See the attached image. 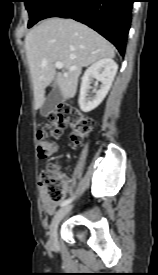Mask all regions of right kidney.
<instances>
[{
	"label": "right kidney",
	"instance_id": "right-kidney-1",
	"mask_svg": "<svg viewBox=\"0 0 158 275\" xmlns=\"http://www.w3.org/2000/svg\"><path fill=\"white\" fill-rule=\"evenodd\" d=\"M117 69L118 65L114 60L105 58L95 62L85 71L79 96V106L83 112H90L101 104L111 88ZM93 79L101 82V85L98 90L93 89L94 96H89Z\"/></svg>",
	"mask_w": 158,
	"mask_h": 275
}]
</instances>
